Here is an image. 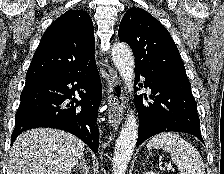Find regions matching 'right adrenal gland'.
I'll use <instances>...</instances> for the list:
<instances>
[{"label":"right adrenal gland","mask_w":224,"mask_h":174,"mask_svg":"<svg viewBox=\"0 0 224 174\" xmlns=\"http://www.w3.org/2000/svg\"><path fill=\"white\" fill-rule=\"evenodd\" d=\"M76 167H79L80 171L83 174H90L88 164L86 160L84 159V157H82L80 162L76 164Z\"/></svg>","instance_id":"2a0ac1e0"}]
</instances>
